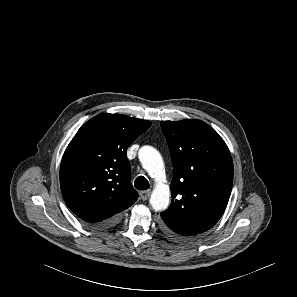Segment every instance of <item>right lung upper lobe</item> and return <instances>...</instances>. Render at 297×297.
Masks as SVG:
<instances>
[{
	"mask_svg": "<svg viewBox=\"0 0 297 297\" xmlns=\"http://www.w3.org/2000/svg\"><path fill=\"white\" fill-rule=\"evenodd\" d=\"M150 126V121L105 113L78 130L60 167L62 195L74 214L96 224L119 215L137 200L126 151Z\"/></svg>",
	"mask_w": 297,
	"mask_h": 297,
	"instance_id": "cb5924a9",
	"label": "right lung upper lobe"
}]
</instances>
